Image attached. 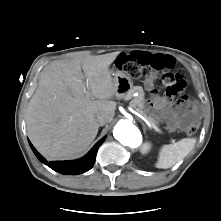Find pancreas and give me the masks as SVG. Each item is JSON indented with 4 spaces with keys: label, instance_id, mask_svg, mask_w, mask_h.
I'll return each instance as SVG.
<instances>
[{
    "label": "pancreas",
    "instance_id": "cf45deb5",
    "mask_svg": "<svg viewBox=\"0 0 221 221\" xmlns=\"http://www.w3.org/2000/svg\"><path fill=\"white\" fill-rule=\"evenodd\" d=\"M133 92H137L138 96L133 98L132 101L130 102V105L132 107H134L136 110H138L141 114H143L144 116H146L148 118V120L154 124V125H158V122L150 115H147V111L144 109V103H145V99H144V92L142 87H134L132 88L126 95H131Z\"/></svg>",
    "mask_w": 221,
    "mask_h": 221
}]
</instances>
